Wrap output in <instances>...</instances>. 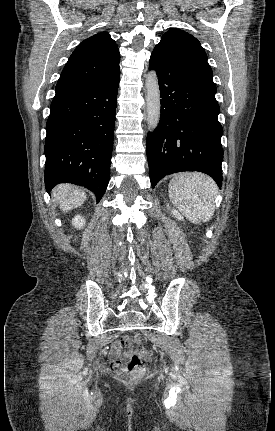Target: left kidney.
Returning <instances> with one entry per match:
<instances>
[{
  "label": "left kidney",
  "mask_w": 275,
  "mask_h": 431,
  "mask_svg": "<svg viewBox=\"0 0 275 431\" xmlns=\"http://www.w3.org/2000/svg\"><path fill=\"white\" fill-rule=\"evenodd\" d=\"M167 207L169 208V205H167ZM171 213L176 219L181 220V221L184 220L183 216L177 210L172 209Z\"/></svg>",
  "instance_id": "1"
}]
</instances>
